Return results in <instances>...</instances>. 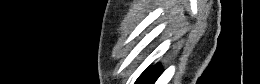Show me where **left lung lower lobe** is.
Masks as SVG:
<instances>
[{
    "mask_svg": "<svg viewBox=\"0 0 260 84\" xmlns=\"http://www.w3.org/2000/svg\"><path fill=\"white\" fill-rule=\"evenodd\" d=\"M160 73V68L155 66L146 70L137 80V84H153Z\"/></svg>",
    "mask_w": 260,
    "mask_h": 84,
    "instance_id": "1",
    "label": "left lung lower lobe"
}]
</instances>
